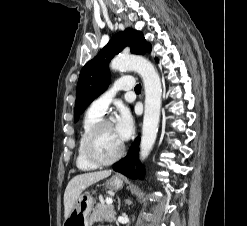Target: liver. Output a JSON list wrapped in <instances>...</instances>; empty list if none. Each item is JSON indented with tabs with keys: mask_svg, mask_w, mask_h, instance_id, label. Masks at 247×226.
I'll return each mask as SVG.
<instances>
[{
	"mask_svg": "<svg viewBox=\"0 0 247 226\" xmlns=\"http://www.w3.org/2000/svg\"><path fill=\"white\" fill-rule=\"evenodd\" d=\"M111 175L110 170L83 173L73 177L68 183L64 193V217L70 215L78 197L90 185Z\"/></svg>",
	"mask_w": 247,
	"mask_h": 226,
	"instance_id": "6515ba94",
	"label": "liver"
}]
</instances>
